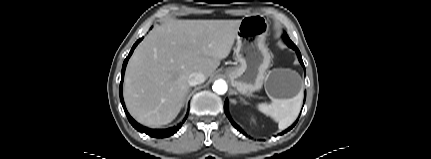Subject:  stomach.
Here are the masks:
<instances>
[{
    "label": "stomach",
    "instance_id": "stomach-1",
    "mask_svg": "<svg viewBox=\"0 0 431 159\" xmlns=\"http://www.w3.org/2000/svg\"><path fill=\"white\" fill-rule=\"evenodd\" d=\"M269 23L263 15H247L236 34L237 65L225 69L231 85L246 96L262 88L272 99H291L302 90L301 77L289 69H275L267 74L271 56L265 45Z\"/></svg>",
    "mask_w": 431,
    "mask_h": 159
}]
</instances>
